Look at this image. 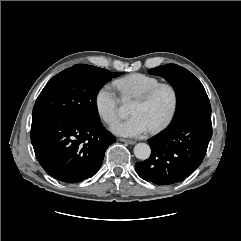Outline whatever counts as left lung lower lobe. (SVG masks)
I'll return each instance as SVG.
<instances>
[{
	"label": "left lung lower lobe",
	"instance_id": "0a47b994",
	"mask_svg": "<svg viewBox=\"0 0 241 241\" xmlns=\"http://www.w3.org/2000/svg\"><path fill=\"white\" fill-rule=\"evenodd\" d=\"M211 137V113L166 128L149 139L151 156L137 162L136 171L142 179L157 185L183 181L202 163Z\"/></svg>",
	"mask_w": 241,
	"mask_h": 241
}]
</instances>
